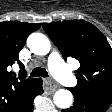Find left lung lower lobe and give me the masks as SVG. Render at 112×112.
Wrapping results in <instances>:
<instances>
[{
    "instance_id": "0a47b994",
    "label": "left lung lower lobe",
    "mask_w": 112,
    "mask_h": 112,
    "mask_svg": "<svg viewBox=\"0 0 112 112\" xmlns=\"http://www.w3.org/2000/svg\"><path fill=\"white\" fill-rule=\"evenodd\" d=\"M73 96V106L62 110L61 112H105L112 102L99 98Z\"/></svg>"
}]
</instances>
